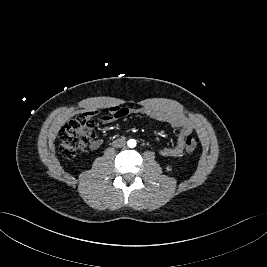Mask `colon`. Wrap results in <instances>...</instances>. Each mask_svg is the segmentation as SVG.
<instances>
[{
  "label": "colon",
  "instance_id": "1",
  "mask_svg": "<svg viewBox=\"0 0 267 267\" xmlns=\"http://www.w3.org/2000/svg\"><path fill=\"white\" fill-rule=\"evenodd\" d=\"M95 137V122L92 116L80 115L64 125L58 135L59 152L64 158H72L78 154ZM199 140L194 136L185 138L187 152H194Z\"/></svg>",
  "mask_w": 267,
  "mask_h": 267
}]
</instances>
